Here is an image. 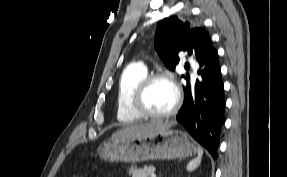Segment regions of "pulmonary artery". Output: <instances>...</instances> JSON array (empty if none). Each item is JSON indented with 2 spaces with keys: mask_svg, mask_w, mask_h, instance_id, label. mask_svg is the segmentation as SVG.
Segmentation results:
<instances>
[{
  "mask_svg": "<svg viewBox=\"0 0 287 177\" xmlns=\"http://www.w3.org/2000/svg\"><path fill=\"white\" fill-rule=\"evenodd\" d=\"M188 62H189L190 64H192V63H194V59H193L192 57H188Z\"/></svg>",
  "mask_w": 287,
  "mask_h": 177,
  "instance_id": "pulmonary-artery-1",
  "label": "pulmonary artery"
}]
</instances>
